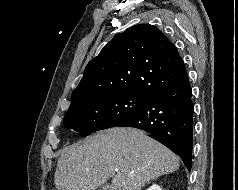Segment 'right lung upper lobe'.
Segmentation results:
<instances>
[{"mask_svg":"<svg viewBox=\"0 0 238 190\" xmlns=\"http://www.w3.org/2000/svg\"><path fill=\"white\" fill-rule=\"evenodd\" d=\"M185 73L177 48L158 28L135 25L114 36L88 63L70 107L99 95L130 93L152 98Z\"/></svg>","mask_w":238,"mask_h":190,"instance_id":"obj_1","label":"right lung upper lobe"}]
</instances>
